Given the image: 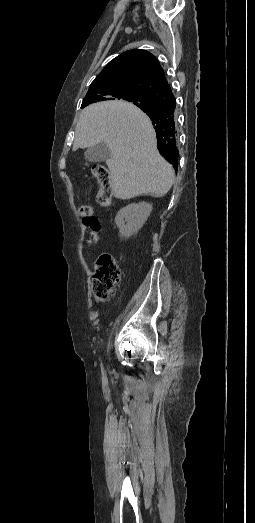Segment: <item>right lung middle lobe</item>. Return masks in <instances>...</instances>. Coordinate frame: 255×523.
Here are the masks:
<instances>
[{"mask_svg":"<svg viewBox=\"0 0 255 523\" xmlns=\"http://www.w3.org/2000/svg\"><path fill=\"white\" fill-rule=\"evenodd\" d=\"M112 97L113 98H109L108 100H114V98H118L125 99L130 102H141L142 106L144 107H149L152 104L151 97H149L146 92L138 89L123 90L114 94Z\"/></svg>","mask_w":255,"mask_h":523,"instance_id":"obj_1","label":"right lung middle lobe"}]
</instances>
